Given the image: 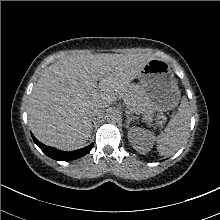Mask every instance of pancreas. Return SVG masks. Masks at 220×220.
<instances>
[{"mask_svg":"<svg viewBox=\"0 0 220 220\" xmlns=\"http://www.w3.org/2000/svg\"><path fill=\"white\" fill-rule=\"evenodd\" d=\"M140 94L141 91L138 85H129L127 91L122 95L124 102L129 109L134 110L136 108V106L138 105Z\"/></svg>","mask_w":220,"mask_h":220,"instance_id":"cf45deb5","label":"pancreas"}]
</instances>
